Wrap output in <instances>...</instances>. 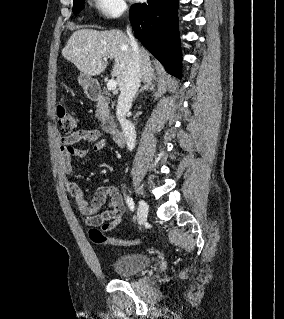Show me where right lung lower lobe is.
Listing matches in <instances>:
<instances>
[{
	"instance_id": "right-lung-lower-lobe-1",
	"label": "right lung lower lobe",
	"mask_w": 284,
	"mask_h": 319,
	"mask_svg": "<svg viewBox=\"0 0 284 319\" xmlns=\"http://www.w3.org/2000/svg\"><path fill=\"white\" fill-rule=\"evenodd\" d=\"M178 0H148L134 4L130 21L136 37L164 65L181 77V49L177 19Z\"/></svg>"
}]
</instances>
